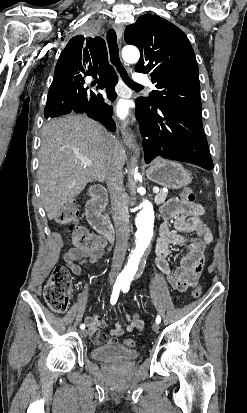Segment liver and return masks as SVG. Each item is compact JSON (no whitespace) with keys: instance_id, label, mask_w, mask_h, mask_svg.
Returning <instances> with one entry per match:
<instances>
[{"instance_id":"liver-1","label":"liver","mask_w":247,"mask_h":413,"mask_svg":"<svg viewBox=\"0 0 247 413\" xmlns=\"http://www.w3.org/2000/svg\"><path fill=\"white\" fill-rule=\"evenodd\" d=\"M110 134L96 120L88 116L68 114L52 118L44 124L39 148L38 182L41 202L49 221L56 219L63 204L80 194L87 182H103L110 160L115 158ZM92 160L85 166L82 160ZM118 158L121 166L127 154L120 146Z\"/></svg>"}]
</instances>
